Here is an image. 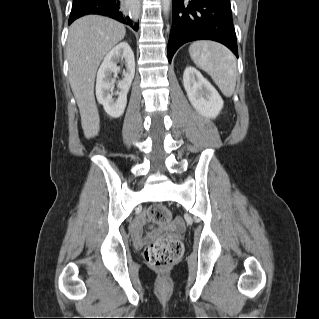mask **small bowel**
I'll return each instance as SVG.
<instances>
[{
  "instance_id": "1",
  "label": "small bowel",
  "mask_w": 319,
  "mask_h": 319,
  "mask_svg": "<svg viewBox=\"0 0 319 319\" xmlns=\"http://www.w3.org/2000/svg\"><path fill=\"white\" fill-rule=\"evenodd\" d=\"M146 223H147V220L145 217H140L136 221H134V223L131 225V233L134 238L136 239L141 238L143 228L146 225ZM169 229L172 231L181 232L183 230V226H182L180 218L174 219L172 223L170 224ZM159 230H160V227L156 226L153 232L148 235L147 239L154 237Z\"/></svg>"
}]
</instances>
